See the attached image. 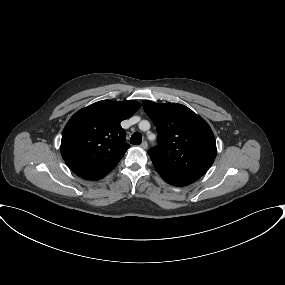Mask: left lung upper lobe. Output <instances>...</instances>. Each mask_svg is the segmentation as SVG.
Returning a JSON list of instances; mask_svg holds the SVG:
<instances>
[{
	"label": "left lung upper lobe",
	"mask_w": 285,
	"mask_h": 285,
	"mask_svg": "<svg viewBox=\"0 0 285 285\" xmlns=\"http://www.w3.org/2000/svg\"><path fill=\"white\" fill-rule=\"evenodd\" d=\"M143 108L158 132V146L148 152L152 162L200 177L204 175L217 151L207 122L182 104L144 100Z\"/></svg>",
	"instance_id": "obj_1"
}]
</instances>
